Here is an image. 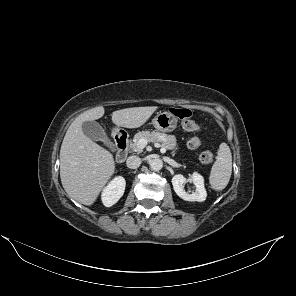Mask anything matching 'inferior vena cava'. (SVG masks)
<instances>
[{
	"label": "inferior vena cava",
	"mask_w": 296,
	"mask_h": 296,
	"mask_svg": "<svg viewBox=\"0 0 296 296\" xmlns=\"http://www.w3.org/2000/svg\"><path fill=\"white\" fill-rule=\"evenodd\" d=\"M141 158L138 156H129L126 160V165L130 169H136L141 164Z\"/></svg>",
	"instance_id": "1"
}]
</instances>
